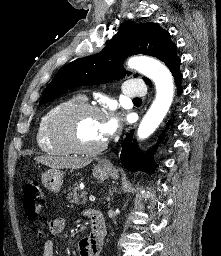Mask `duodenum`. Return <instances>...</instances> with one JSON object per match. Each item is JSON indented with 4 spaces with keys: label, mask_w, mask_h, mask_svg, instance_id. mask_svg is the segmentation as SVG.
Here are the masks:
<instances>
[{
    "label": "duodenum",
    "mask_w": 221,
    "mask_h": 256,
    "mask_svg": "<svg viewBox=\"0 0 221 256\" xmlns=\"http://www.w3.org/2000/svg\"><path fill=\"white\" fill-rule=\"evenodd\" d=\"M105 235V222L99 211H94L91 216V239L96 243H102Z\"/></svg>",
    "instance_id": "duodenum-1"
}]
</instances>
